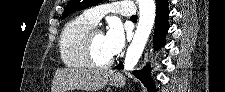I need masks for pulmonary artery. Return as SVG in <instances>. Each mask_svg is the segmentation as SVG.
Segmentation results:
<instances>
[{"label": "pulmonary artery", "mask_w": 225, "mask_h": 92, "mask_svg": "<svg viewBox=\"0 0 225 92\" xmlns=\"http://www.w3.org/2000/svg\"><path fill=\"white\" fill-rule=\"evenodd\" d=\"M132 4L130 2H116L112 5H100L85 10L82 17L91 22L93 25H97L102 16L107 12L119 13L124 16L132 17L131 9Z\"/></svg>", "instance_id": "1"}]
</instances>
